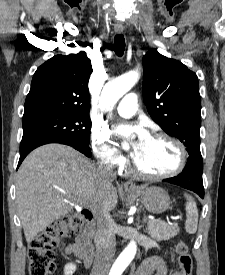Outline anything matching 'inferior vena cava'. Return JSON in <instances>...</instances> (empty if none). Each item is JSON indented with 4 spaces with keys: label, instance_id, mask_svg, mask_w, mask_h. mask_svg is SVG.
<instances>
[{
    "label": "inferior vena cava",
    "instance_id": "1",
    "mask_svg": "<svg viewBox=\"0 0 225 275\" xmlns=\"http://www.w3.org/2000/svg\"><path fill=\"white\" fill-rule=\"evenodd\" d=\"M112 169V165L100 167L101 174L108 182H112L115 178ZM112 224L113 220L109 212L104 208H98L97 231L95 237L96 256L91 275H108L116 246Z\"/></svg>",
    "mask_w": 225,
    "mask_h": 275
}]
</instances>
